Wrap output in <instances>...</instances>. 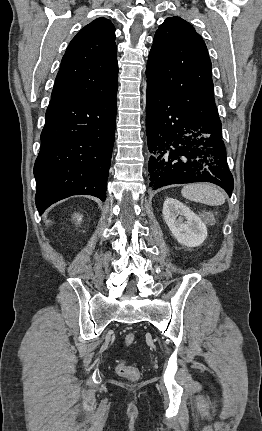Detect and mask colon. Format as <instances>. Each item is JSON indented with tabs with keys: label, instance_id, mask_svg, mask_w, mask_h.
Instances as JSON below:
<instances>
[{
	"label": "colon",
	"instance_id": "obj_1",
	"mask_svg": "<svg viewBox=\"0 0 262 431\" xmlns=\"http://www.w3.org/2000/svg\"><path fill=\"white\" fill-rule=\"evenodd\" d=\"M137 340V336L134 332H129L125 336V344L131 346ZM116 372L118 375L127 378L129 380L135 381L139 379L140 373L137 368L128 365L124 360H120L116 367Z\"/></svg>",
	"mask_w": 262,
	"mask_h": 431
}]
</instances>
